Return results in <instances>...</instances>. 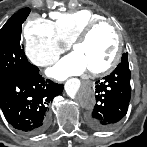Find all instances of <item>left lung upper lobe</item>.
<instances>
[{
	"label": "left lung upper lobe",
	"mask_w": 147,
	"mask_h": 147,
	"mask_svg": "<svg viewBox=\"0 0 147 147\" xmlns=\"http://www.w3.org/2000/svg\"><path fill=\"white\" fill-rule=\"evenodd\" d=\"M123 60H127V54H123V55H122L121 61H123Z\"/></svg>",
	"instance_id": "5c2ea615"
}]
</instances>
